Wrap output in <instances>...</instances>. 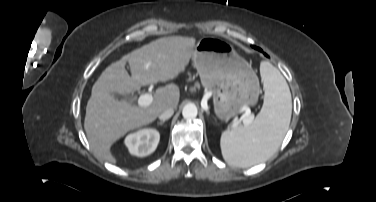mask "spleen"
<instances>
[{"mask_svg": "<svg viewBox=\"0 0 376 202\" xmlns=\"http://www.w3.org/2000/svg\"><path fill=\"white\" fill-rule=\"evenodd\" d=\"M264 89V104L251 125L222 133L220 146L228 164L250 167L271 157L288 131L292 99L288 84L270 62L260 64Z\"/></svg>", "mask_w": 376, "mask_h": 202, "instance_id": "obj_1", "label": "spleen"}]
</instances>
